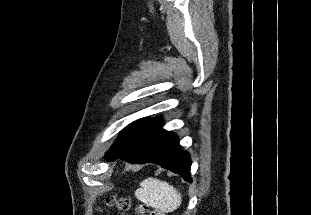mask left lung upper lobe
Listing matches in <instances>:
<instances>
[{"mask_svg": "<svg viewBox=\"0 0 311 215\" xmlns=\"http://www.w3.org/2000/svg\"><path fill=\"white\" fill-rule=\"evenodd\" d=\"M150 121V118H141L129 124L114 142L110 150L106 153V157L111 159L113 156L124 151L137 137L144 126Z\"/></svg>", "mask_w": 311, "mask_h": 215, "instance_id": "left-lung-upper-lobe-1", "label": "left lung upper lobe"}]
</instances>
